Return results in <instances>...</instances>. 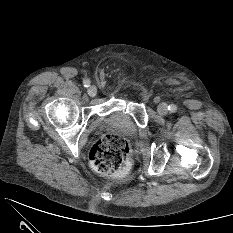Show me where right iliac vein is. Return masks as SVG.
<instances>
[{"mask_svg": "<svg viewBox=\"0 0 233 233\" xmlns=\"http://www.w3.org/2000/svg\"><path fill=\"white\" fill-rule=\"evenodd\" d=\"M87 92H88L89 96L94 97L97 94V88H96V86H94V85L90 86L88 88Z\"/></svg>", "mask_w": 233, "mask_h": 233, "instance_id": "1", "label": "right iliac vein"}]
</instances>
